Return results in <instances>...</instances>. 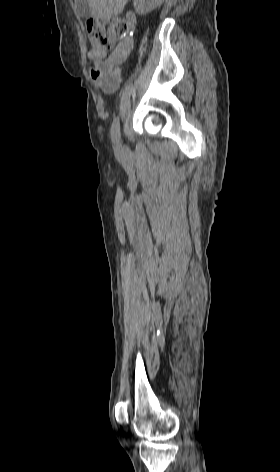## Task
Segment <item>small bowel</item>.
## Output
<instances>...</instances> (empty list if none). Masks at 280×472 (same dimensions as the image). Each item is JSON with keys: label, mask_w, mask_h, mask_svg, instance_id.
I'll return each mask as SVG.
<instances>
[{"label": "small bowel", "mask_w": 280, "mask_h": 472, "mask_svg": "<svg viewBox=\"0 0 280 472\" xmlns=\"http://www.w3.org/2000/svg\"><path fill=\"white\" fill-rule=\"evenodd\" d=\"M132 25L135 19L129 17ZM133 48L131 36L124 37L114 50L107 55L104 48H92L88 57L93 62L89 68V74L93 84L102 94L109 95L117 91L121 84L122 71L121 64L129 57Z\"/></svg>", "instance_id": "c3829d8e"}]
</instances>
